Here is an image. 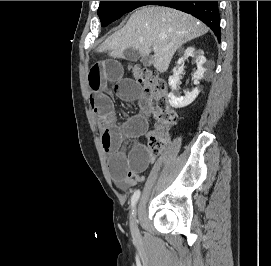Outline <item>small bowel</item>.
<instances>
[{
    "label": "small bowel",
    "instance_id": "c3829d8e",
    "mask_svg": "<svg viewBox=\"0 0 271 266\" xmlns=\"http://www.w3.org/2000/svg\"><path fill=\"white\" fill-rule=\"evenodd\" d=\"M123 73L122 65L116 60L96 63L89 70L88 85L90 107L97 118L103 149L109 155L112 180L117 187L127 189L143 180L155 158L142 143L134 144L128 151L122 148L127 139L150 135L145 94L132 79L124 78ZM113 95L123 101L140 102V112L118 123Z\"/></svg>",
    "mask_w": 271,
    "mask_h": 266
}]
</instances>
